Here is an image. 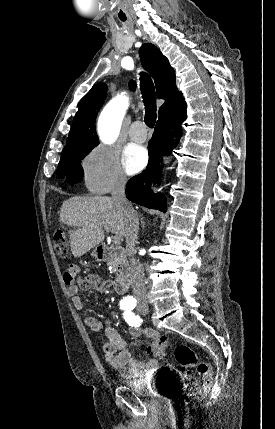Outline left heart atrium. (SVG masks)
Segmentation results:
<instances>
[{
	"instance_id": "obj_1",
	"label": "left heart atrium",
	"mask_w": 275,
	"mask_h": 429,
	"mask_svg": "<svg viewBox=\"0 0 275 429\" xmlns=\"http://www.w3.org/2000/svg\"><path fill=\"white\" fill-rule=\"evenodd\" d=\"M147 159V151L143 147L129 146L123 156L124 167L129 174L137 173L146 165Z\"/></svg>"
}]
</instances>
